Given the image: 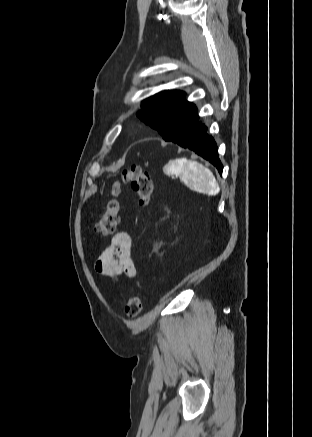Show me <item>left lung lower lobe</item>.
Masks as SVG:
<instances>
[{
  "label": "left lung lower lobe",
  "instance_id": "1",
  "mask_svg": "<svg viewBox=\"0 0 312 437\" xmlns=\"http://www.w3.org/2000/svg\"><path fill=\"white\" fill-rule=\"evenodd\" d=\"M174 143L185 149H190L208 160L218 169L219 173L222 174L223 166L218 157L216 143L213 138L207 134L205 124L199 122L198 119L194 122L192 127L179 139L175 140Z\"/></svg>",
  "mask_w": 312,
  "mask_h": 437
}]
</instances>
